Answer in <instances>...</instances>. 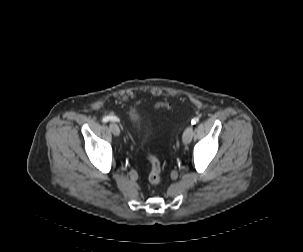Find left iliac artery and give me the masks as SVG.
Masks as SVG:
<instances>
[{"mask_svg": "<svg viewBox=\"0 0 303 252\" xmlns=\"http://www.w3.org/2000/svg\"><path fill=\"white\" fill-rule=\"evenodd\" d=\"M199 122V118L195 117L191 120V124L194 125Z\"/></svg>", "mask_w": 303, "mask_h": 252, "instance_id": "1", "label": "left iliac artery"}]
</instances>
